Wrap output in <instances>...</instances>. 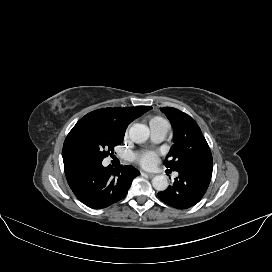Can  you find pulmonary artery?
Instances as JSON below:
<instances>
[{
	"mask_svg": "<svg viewBox=\"0 0 272 272\" xmlns=\"http://www.w3.org/2000/svg\"><path fill=\"white\" fill-rule=\"evenodd\" d=\"M168 132V125L162 124L159 127L151 128L152 140L156 143L161 142L165 139ZM174 177L178 176V173L173 174Z\"/></svg>",
	"mask_w": 272,
	"mask_h": 272,
	"instance_id": "pulmonary-artery-1",
	"label": "pulmonary artery"
}]
</instances>
